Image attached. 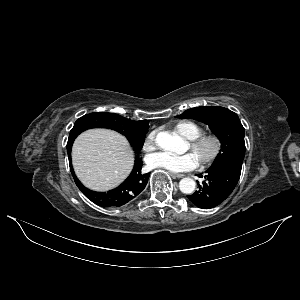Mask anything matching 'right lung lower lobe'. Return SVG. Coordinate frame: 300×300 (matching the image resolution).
<instances>
[{
	"mask_svg": "<svg viewBox=\"0 0 300 300\" xmlns=\"http://www.w3.org/2000/svg\"><path fill=\"white\" fill-rule=\"evenodd\" d=\"M71 147L72 144L67 146V151L74 181L82 193L95 204L101 207H120L138 197L145 189L150 173L143 174L141 172L142 160L138 157L135 158V165L131 174L119 187L108 192H95L86 188L75 176L72 169Z\"/></svg>",
	"mask_w": 300,
	"mask_h": 300,
	"instance_id": "obj_1",
	"label": "right lung lower lobe"
}]
</instances>
